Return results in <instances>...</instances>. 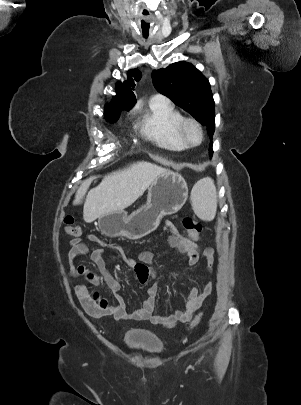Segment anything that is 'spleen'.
<instances>
[{"label":"spleen","instance_id":"1","mask_svg":"<svg viewBox=\"0 0 301 405\" xmlns=\"http://www.w3.org/2000/svg\"><path fill=\"white\" fill-rule=\"evenodd\" d=\"M192 208L202 220L214 219L217 209V195L214 182L211 178L199 180L191 192Z\"/></svg>","mask_w":301,"mask_h":405}]
</instances>
